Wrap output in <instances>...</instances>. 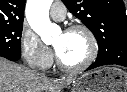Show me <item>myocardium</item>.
Segmentation results:
<instances>
[{
	"instance_id": "obj_1",
	"label": "myocardium",
	"mask_w": 127,
	"mask_h": 92,
	"mask_svg": "<svg viewBox=\"0 0 127 92\" xmlns=\"http://www.w3.org/2000/svg\"><path fill=\"white\" fill-rule=\"evenodd\" d=\"M77 31L83 32L87 36L89 40L90 51H89L87 58L82 63L78 65H74V66L65 64L60 59L59 55L56 53L57 66L62 71L67 72V73H79V72L84 71L96 60L98 56V52H99V45H98L97 38L89 27L82 25V24H73L70 27H68L65 32L72 33V32H77Z\"/></svg>"
}]
</instances>
